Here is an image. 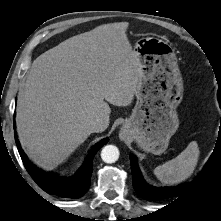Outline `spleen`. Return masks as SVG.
I'll use <instances>...</instances> for the list:
<instances>
[{
    "label": "spleen",
    "mask_w": 221,
    "mask_h": 221,
    "mask_svg": "<svg viewBox=\"0 0 221 221\" xmlns=\"http://www.w3.org/2000/svg\"><path fill=\"white\" fill-rule=\"evenodd\" d=\"M200 151L196 141H192L174 159L154 169L156 177L164 184L174 185L191 176L198 163Z\"/></svg>",
    "instance_id": "spleen-1"
}]
</instances>
